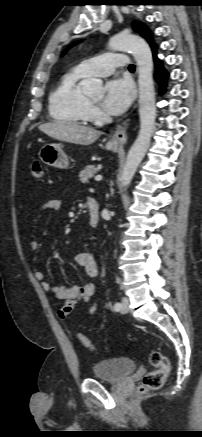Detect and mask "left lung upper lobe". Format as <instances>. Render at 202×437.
Returning <instances> with one entry per match:
<instances>
[{
  "instance_id": "left-lung-upper-lobe-1",
  "label": "left lung upper lobe",
  "mask_w": 202,
  "mask_h": 437,
  "mask_svg": "<svg viewBox=\"0 0 202 437\" xmlns=\"http://www.w3.org/2000/svg\"><path fill=\"white\" fill-rule=\"evenodd\" d=\"M132 27H133L134 31L138 32L144 39H146L148 41L151 48L156 46V44L154 43L153 38H152V32L148 29V27L144 23L133 22ZM65 53H66V51L63 54H65Z\"/></svg>"
}]
</instances>
